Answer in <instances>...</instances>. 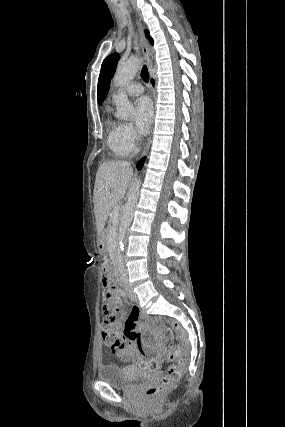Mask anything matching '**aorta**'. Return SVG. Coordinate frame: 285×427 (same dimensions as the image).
<instances>
[{
	"mask_svg": "<svg viewBox=\"0 0 285 427\" xmlns=\"http://www.w3.org/2000/svg\"><path fill=\"white\" fill-rule=\"evenodd\" d=\"M140 68V60L132 56L126 62L119 63L114 76V81L120 87V92L113 98L117 106V116L120 119L127 120L133 111V105L128 100L127 95L122 91V87L131 81L137 74ZM141 180L135 179L129 192L128 200L124 206L123 213L120 220L118 232V247L116 253L117 265L123 267L122 251L124 247L125 234L131 224L134 209L138 201L140 192Z\"/></svg>",
	"mask_w": 285,
	"mask_h": 427,
	"instance_id": "1",
	"label": "aorta"
}]
</instances>
